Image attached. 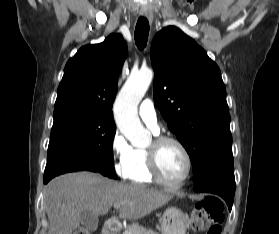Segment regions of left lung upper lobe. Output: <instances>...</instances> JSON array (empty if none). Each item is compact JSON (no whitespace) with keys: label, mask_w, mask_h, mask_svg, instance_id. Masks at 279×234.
Here are the masks:
<instances>
[{"label":"left lung upper lobe","mask_w":279,"mask_h":234,"mask_svg":"<svg viewBox=\"0 0 279 234\" xmlns=\"http://www.w3.org/2000/svg\"><path fill=\"white\" fill-rule=\"evenodd\" d=\"M156 105L188 152L194 184L234 175L230 114L219 67L179 28L158 32L151 45Z\"/></svg>","instance_id":"left-lung-upper-lobe-1"}]
</instances>
